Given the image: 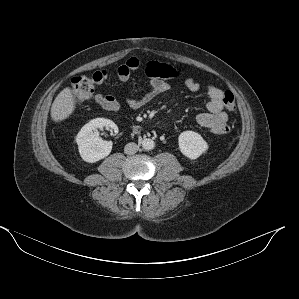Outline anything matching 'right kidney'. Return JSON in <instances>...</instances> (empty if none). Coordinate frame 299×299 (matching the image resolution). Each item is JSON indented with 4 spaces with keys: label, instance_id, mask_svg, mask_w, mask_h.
<instances>
[{
    "label": "right kidney",
    "instance_id": "right-kidney-1",
    "mask_svg": "<svg viewBox=\"0 0 299 299\" xmlns=\"http://www.w3.org/2000/svg\"><path fill=\"white\" fill-rule=\"evenodd\" d=\"M107 127L118 133L117 125L105 118H96L85 124L76 137L81 158L88 163H95L107 157L112 150V142L102 140L98 129Z\"/></svg>",
    "mask_w": 299,
    "mask_h": 299
}]
</instances>
